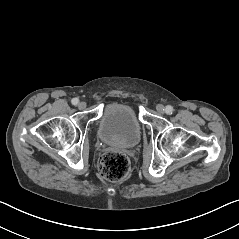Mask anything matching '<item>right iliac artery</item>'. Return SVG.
I'll return each mask as SVG.
<instances>
[{"instance_id":"right-iliac-artery-1","label":"right iliac artery","mask_w":239,"mask_h":239,"mask_svg":"<svg viewBox=\"0 0 239 239\" xmlns=\"http://www.w3.org/2000/svg\"><path fill=\"white\" fill-rule=\"evenodd\" d=\"M71 102H72L73 105H77L79 103V99L78 98H73Z\"/></svg>"}]
</instances>
